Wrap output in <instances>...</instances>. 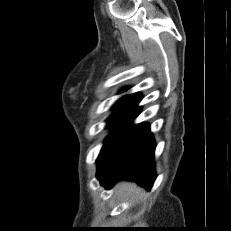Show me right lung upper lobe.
Masks as SVG:
<instances>
[{"instance_id":"cb5924a9","label":"right lung upper lobe","mask_w":231,"mask_h":231,"mask_svg":"<svg viewBox=\"0 0 231 231\" xmlns=\"http://www.w3.org/2000/svg\"><path fill=\"white\" fill-rule=\"evenodd\" d=\"M128 88L122 90V91H125L127 90ZM123 99H129V100H134V101H140L141 100V97H140V94L139 93H136V94H133V95H129V96H126L124 97Z\"/></svg>"}]
</instances>
